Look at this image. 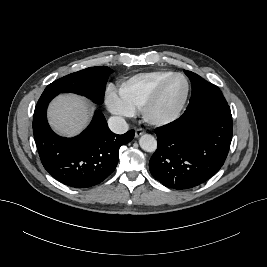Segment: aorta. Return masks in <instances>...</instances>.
<instances>
[{
	"label": "aorta",
	"mask_w": 267,
	"mask_h": 267,
	"mask_svg": "<svg viewBox=\"0 0 267 267\" xmlns=\"http://www.w3.org/2000/svg\"><path fill=\"white\" fill-rule=\"evenodd\" d=\"M140 147L146 152H154L157 149V141L154 136L144 134L139 139Z\"/></svg>",
	"instance_id": "obj_1"
}]
</instances>
